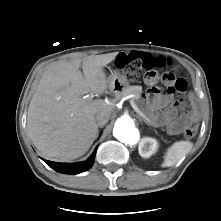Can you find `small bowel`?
<instances>
[{
  "mask_svg": "<svg viewBox=\"0 0 221 221\" xmlns=\"http://www.w3.org/2000/svg\"><path fill=\"white\" fill-rule=\"evenodd\" d=\"M121 54H131L133 56H140L141 54L149 55L150 57H155L149 53L144 52H129ZM184 77V73L180 71V75ZM157 81V75L154 74L152 77L146 78V83L151 86L150 92L148 94V100L154 111L156 112L158 121L166 127L169 134H177L184 124L191 123L197 120L198 112L196 109H190L182 113L179 112L178 106L172 104L171 98L168 95L161 94L157 92L153 85Z\"/></svg>",
  "mask_w": 221,
  "mask_h": 221,
  "instance_id": "c3829d8e",
  "label": "small bowel"
}]
</instances>
